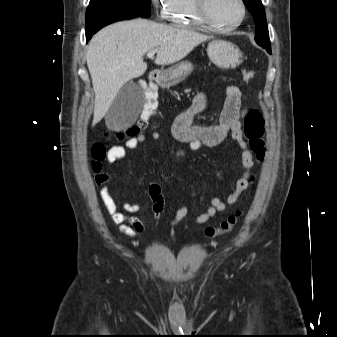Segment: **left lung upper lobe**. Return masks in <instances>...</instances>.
Listing matches in <instances>:
<instances>
[{
    "instance_id": "left-lung-upper-lobe-1",
    "label": "left lung upper lobe",
    "mask_w": 337,
    "mask_h": 337,
    "mask_svg": "<svg viewBox=\"0 0 337 337\" xmlns=\"http://www.w3.org/2000/svg\"><path fill=\"white\" fill-rule=\"evenodd\" d=\"M254 17L256 24L255 40L258 45L271 53L268 27L266 25L265 12L261 0H243Z\"/></svg>"
}]
</instances>
